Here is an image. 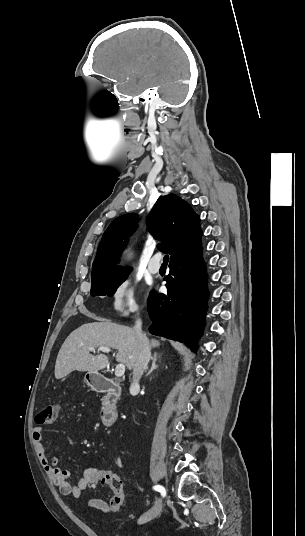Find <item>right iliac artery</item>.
I'll use <instances>...</instances> for the list:
<instances>
[{
	"label": "right iliac artery",
	"instance_id": "right-iliac-artery-1",
	"mask_svg": "<svg viewBox=\"0 0 305 536\" xmlns=\"http://www.w3.org/2000/svg\"><path fill=\"white\" fill-rule=\"evenodd\" d=\"M153 488H154V490L160 492L162 496H165V495H166V491H165V489H164L163 486H161V485H156V486H154Z\"/></svg>",
	"mask_w": 305,
	"mask_h": 536
}]
</instances>
